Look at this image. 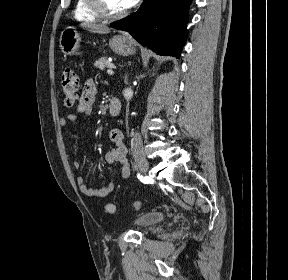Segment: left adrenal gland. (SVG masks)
<instances>
[{"label": "left adrenal gland", "mask_w": 288, "mask_h": 280, "mask_svg": "<svg viewBox=\"0 0 288 280\" xmlns=\"http://www.w3.org/2000/svg\"><path fill=\"white\" fill-rule=\"evenodd\" d=\"M128 79H127V76H125V82L127 83Z\"/></svg>", "instance_id": "1"}]
</instances>
